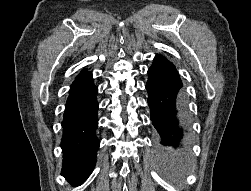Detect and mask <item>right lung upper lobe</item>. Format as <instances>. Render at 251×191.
<instances>
[{
  "label": "right lung upper lobe",
  "mask_w": 251,
  "mask_h": 191,
  "mask_svg": "<svg viewBox=\"0 0 251 191\" xmlns=\"http://www.w3.org/2000/svg\"><path fill=\"white\" fill-rule=\"evenodd\" d=\"M88 73H90V72L84 69V70H82V71L78 74V76L76 77V79H77V78H80V77H82V76H84V75H86V74H88Z\"/></svg>",
  "instance_id": "cb5924a9"
}]
</instances>
